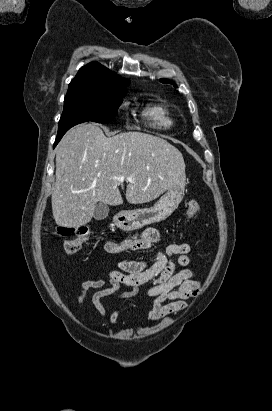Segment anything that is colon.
<instances>
[{
	"mask_svg": "<svg viewBox=\"0 0 272 411\" xmlns=\"http://www.w3.org/2000/svg\"><path fill=\"white\" fill-rule=\"evenodd\" d=\"M200 206L197 201L190 200L186 205V216L188 219L194 218L199 212ZM91 230L87 225H78L74 227L59 226L56 228V234L64 238V251L69 254L77 253L82 245L88 240Z\"/></svg>",
	"mask_w": 272,
	"mask_h": 411,
	"instance_id": "colon-1",
	"label": "colon"
}]
</instances>
